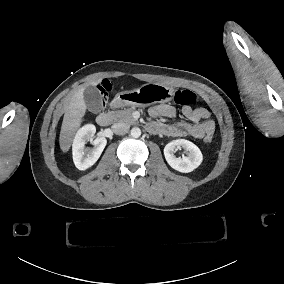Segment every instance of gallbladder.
Masks as SVG:
<instances>
[{
  "label": "gallbladder",
  "mask_w": 284,
  "mask_h": 284,
  "mask_svg": "<svg viewBox=\"0 0 284 284\" xmlns=\"http://www.w3.org/2000/svg\"><path fill=\"white\" fill-rule=\"evenodd\" d=\"M84 101L88 110L92 113H100L103 109L102 96L94 86H87L84 91Z\"/></svg>",
  "instance_id": "gallbladder-1"
}]
</instances>
